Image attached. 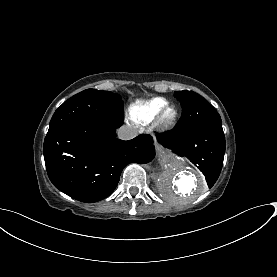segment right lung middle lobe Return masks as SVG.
<instances>
[{
    "mask_svg": "<svg viewBox=\"0 0 277 277\" xmlns=\"http://www.w3.org/2000/svg\"><path fill=\"white\" fill-rule=\"evenodd\" d=\"M122 118L123 101L120 95L86 89L68 99L55 111L48 132L75 122Z\"/></svg>",
    "mask_w": 277,
    "mask_h": 277,
    "instance_id": "dd1d6c3e",
    "label": "right lung middle lobe"
}]
</instances>
